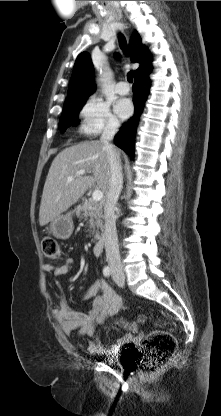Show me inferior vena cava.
Segmentation results:
<instances>
[{"instance_id": "1", "label": "inferior vena cava", "mask_w": 221, "mask_h": 416, "mask_svg": "<svg viewBox=\"0 0 221 416\" xmlns=\"http://www.w3.org/2000/svg\"><path fill=\"white\" fill-rule=\"evenodd\" d=\"M119 123L109 121L105 127L100 141L104 145L107 153V159L110 166L109 187L106 193L104 204V244L106 251V260L111 272H122L121 258L119 253L118 236L116 231L115 206L118 201L123 185L122 167L120 154L111 144L115 134L118 132Z\"/></svg>"}]
</instances>
